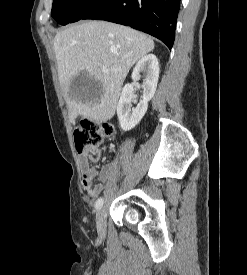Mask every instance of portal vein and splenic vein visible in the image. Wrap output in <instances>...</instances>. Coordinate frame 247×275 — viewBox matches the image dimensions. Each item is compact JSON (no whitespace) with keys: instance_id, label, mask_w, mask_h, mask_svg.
Instances as JSON below:
<instances>
[{"instance_id":"portal-vein-and-splenic-vein-1","label":"portal vein and splenic vein","mask_w":247,"mask_h":275,"mask_svg":"<svg viewBox=\"0 0 247 275\" xmlns=\"http://www.w3.org/2000/svg\"><path fill=\"white\" fill-rule=\"evenodd\" d=\"M102 70H103V72H108L109 71V69L105 66L102 67Z\"/></svg>"}]
</instances>
